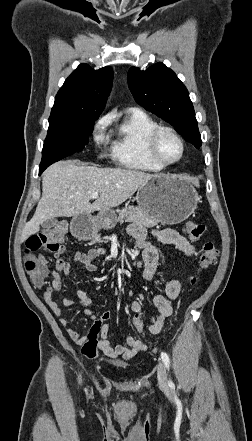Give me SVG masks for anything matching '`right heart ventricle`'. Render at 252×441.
I'll use <instances>...</instances> for the list:
<instances>
[{
	"instance_id": "e07e8e85",
	"label": "right heart ventricle",
	"mask_w": 252,
	"mask_h": 441,
	"mask_svg": "<svg viewBox=\"0 0 252 441\" xmlns=\"http://www.w3.org/2000/svg\"><path fill=\"white\" fill-rule=\"evenodd\" d=\"M158 123L140 110H130L113 132L111 156L122 167L142 171L159 172L163 169L147 152V137Z\"/></svg>"
}]
</instances>
